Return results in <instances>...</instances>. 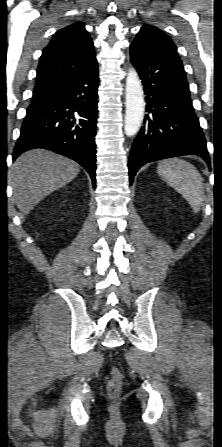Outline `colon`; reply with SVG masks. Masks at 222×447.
Wrapping results in <instances>:
<instances>
[{"instance_id":"5ec220e1","label":"colon","mask_w":222,"mask_h":447,"mask_svg":"<svg viewBox=\"0 0 222 447\" xmlns=\"http://www.w3.org/2000/svg\"><path fill=\"white\" fill-rule=\"evenodd\" d=\"M110 379L107 382V393L110 397L116 398L120 395L123 385V375L117 368H113L110 372Z\"/></svg>"}]
</instances>
